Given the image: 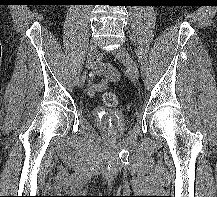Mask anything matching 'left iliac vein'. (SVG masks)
I'll return each instance as SVG.
<instances>
[{
  "mask_svg": "<svg viewBox=\"0 0 217 197\" xmlns=\"http://www.w3.org/2000/svg\"><path fill=\"white\" fill-rule=\"evenodd\" d=\"M112 54L125 65L127 73L130 77L135 80L139 78L138 67L134 59L125 48L119 47L114 50Z\"/></svg>",
  "mask_w": 217,
  "mask_h": 197,
  "instance_id": "obj_1",
  "label": "left iliac vein"
}]
</instances>
